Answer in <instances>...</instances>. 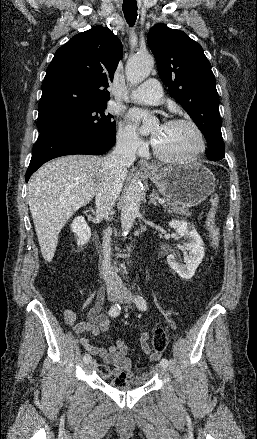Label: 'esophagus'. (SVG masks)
<instances>
[{
	"label": "esophagus",
	"mask_w": 257,
	"mask_h": 439,
	"mask_svg": "<svg viewBox=\"0 0 257 439\" xmlns=\"http://www.w3.org/2000/svg\"><path fill=\"white\" fill-rule=\"evenodd\" d=\"M139 165L143 170L151 171L155 169L154 165L143 159L139 161Z\"/></svg>",
	"instance_id": "esophagus-1"
}]
</instances>
